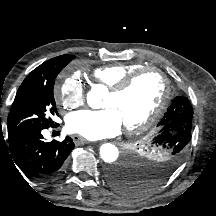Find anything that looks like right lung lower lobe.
Listing matches in <instances>:
<instances>
[{"instance_id":"obj_1","label":"right lung lower lobe","mask_w":216,"mask_h":216,"mask_svg":"<svg viewBox=\"0 0 216 216\" xmlns=\"http://www.w3.org/2000/svg\"><path fill=\"white\" fill-rule=\"evenodd\" d=\"M41 131L42 129L23 130L8 135V142L17 165L31 176L45 180L64 169L66 159L75 145L71 137H66L61 142H46Z\"/></svg>"}]
</instances>
